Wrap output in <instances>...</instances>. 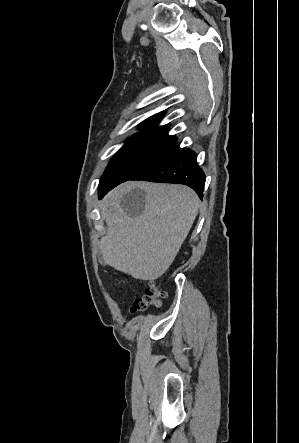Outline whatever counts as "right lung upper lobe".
Here are the masks:
<instances>
[{"instance_id": "obj_1", "label": "right lung upper lobe", "mask_w": 299, "mask_h": 443, "mask_svg": "<svg viewBox=\"0 0 299 443\" xmlns=\"http://www.w3.org/2000/svg\"><path fill=\"white\" fill-rule=\"evenodd\" d=\"M162 116H163L162 113H158V114H156V115H154V116L148 118V119L146 120V123H155V124H158V123H159V120H160V118H161Z\"/></svg>"}]
</instances>
